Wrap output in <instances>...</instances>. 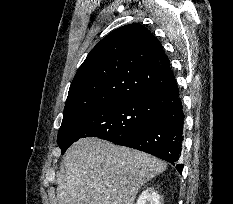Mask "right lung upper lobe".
<instances>
[{"label": "right lung upper lobe", "instance_id": "right-lung-upper-lobe-1", "mask_svg": "<svg viewBox=\"0 0 233 204\" xmlns=\"http://www.w3.org/2000/svg\"><path fill=\"white\" fill-rule=\"evenodd\" d=\"M174 81L169 59L158 39L140 24L122 26L98 42L78 69L60 129L96 108L151 96Z\"/></svg>", "mask_w": 233, "mask_h": 204}]
</instances>
